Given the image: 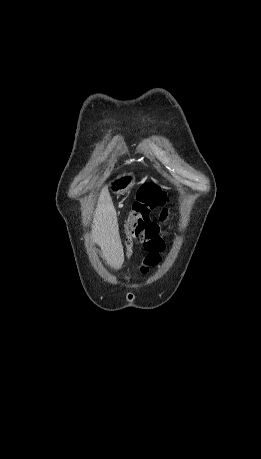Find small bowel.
Wrapping results in <instances>:
<instances>
[{"instance_id": "obj_1", "label": "small bowel", "mask_w": 261, "mask_h": 459, "mask_svg": "<svg viewBox=\"0 0 261 459\" xmlns=\"http://www.w3.org/2000/svg\"><path fill=\"white\" fill-rule=\"evenodd\" d=\"M134 241L140 242L148 252L140 267V272L146 275L152 267L157 266L160 262V254L165 249L164 236L160 234L159 238H138L135 235Z\"/></svg>"}]
</instances>
